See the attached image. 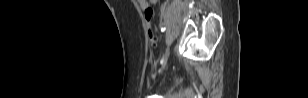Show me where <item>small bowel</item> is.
Instances as JSON below:
<instances>
[{"label":"small bowel","mask_w":308,"mask_h":98,"mask_svg":"<svg viewBox=\"0 0 308 98\" xmlns=\"http://www.w3.org/2000/svg\"><path fill=\"white\" fill-rule=\"evenodd\" d=\"M138 5L141 9L145 10L147 8H152L153 4H155L156 0L146 1V0H138Z\"/></svg>","instance_id":"1"}]
</instances>
